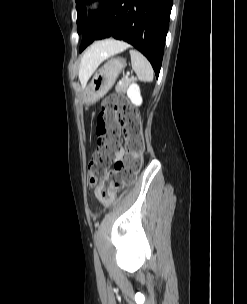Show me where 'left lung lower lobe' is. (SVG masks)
Here are the masks:
<instances>
[{
	"instance_id": "obj_1",
	"label": "left lung lower lobe",
	"mask_w": 247,
	"mask_h": 304,
	"mask_svg": "<svg viewBox=\"0 0 247 304\" xmlns=\"http://www.w3.org/2000/svg\"><path fill=\"white\" fill-rule=\"evenodd\" d=\"M172 0H108L98 22L82 32L80 52L94 40L114 37L132 44L159 76Z\"/></svg>"
}]
</instances>
